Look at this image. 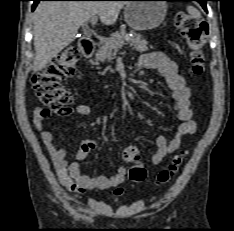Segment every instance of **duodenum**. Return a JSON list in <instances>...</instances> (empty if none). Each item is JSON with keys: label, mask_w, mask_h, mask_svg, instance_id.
Segmentation results:
<instances>
[{"label": "duodenum", "mask_w": 234, "mask_h": 231, "mask_svg": "<svg viewBox=\"0 0 234 231\" xmlns=\"http://www.w3.org/2000/svg\"><path fill=\"white\" fill-rule=\"evenodd\" d=\"M79 49L84 57L89 58L94 54L96 50V44L93 40L85 39L80 42Z\"/></svg>", "instance_id": "duodenum-1"}]
</instances>
